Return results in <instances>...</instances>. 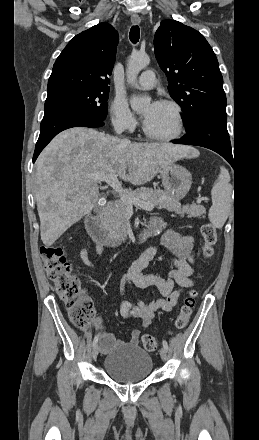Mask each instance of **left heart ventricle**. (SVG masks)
<instances>
[{"instance_id":"b2bd125f","label":"left heart ventricle","mask_w":259,"mask_h":440,"mask_svg":"<svg viewBox=\"0 0 259 440\" xmlns=\"http://www.w3.org/2000/svg\"><path fill=\"white\" fill-rule=\"evenodd\" d=\"M147 107L144 108V111ZM145 125L149 131L156 135H170L175 130V115L173 109L170 106L159 104L155 113Z\"/></svg>"}]
</instances>
